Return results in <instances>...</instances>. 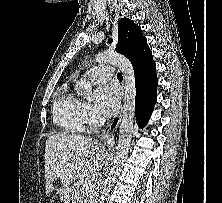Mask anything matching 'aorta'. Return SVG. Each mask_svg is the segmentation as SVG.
Instances as JSON below:
<instances>
[{
    "label": "aorta",
    "mask_w": 222,
    "mask_h": 203,
    "mask_svg": "<svg viewBox=\"0 0 222 203\" xmlns=\"http://www.w3.org/2000/svg\"><path fill=\"white\" fill-rule=\"evenodd\" d=\"M95 61L97 63H109L117 66L123 73V78L125 81L123 114L119 128L118 143L108 177L105 181V185L101 191V196L99 199V203H104L111 187L116 180L117 175L119 174L120 169L124 165L131 145L132 133L134 129L136 86L133 66L129 59L125 56L115 52L105 51L104 53L98 54ZM77 89L83 96L91 98L92 86L89 81L79 82L77 84Z\"/></svg>",
    "instance_id": "762f6f07"
}]
</instances>
